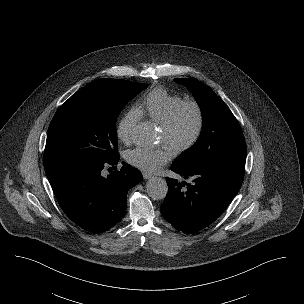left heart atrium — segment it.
<instances>
[{
	"label": "left heart atrium",
	"instance_id": "39dd6f15",
	"mask_svg": "<svg viewBox=\"0 0 304 304\" xmlns=\"http://www.w3.org/2000/svg\"><path fill=\"white\" fill-rule=\"evenodd\" d=\"M174 156V150L169 146L156 149L138 147L126 154V161L135 168L145 172H155L169 162Z\"/></svg>",
	"mask_w": 304,
	"mask_h": 304
}]
</instances>
